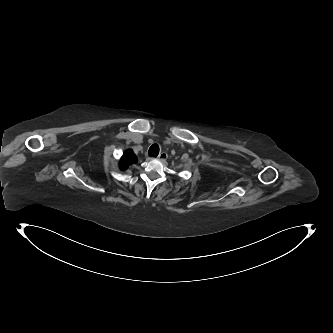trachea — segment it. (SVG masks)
<instances>
[{"mask_svg": "<svg viewBox=\"0 0 333 333\" xmlns=\"http://www.w3.org/2000/svg\"><path fill=\"white\" fill-rule=\"evenodd\" d=\"M159 154V146L157 144H153L148 151V155L151 157H157Z\"/></svg>", "mask_w": 333, "mask_h": 333, "instance_id": "3493384b", "label": "trachea"}]
</instances>
